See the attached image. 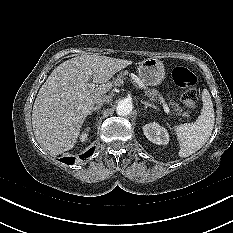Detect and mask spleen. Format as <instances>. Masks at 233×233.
<instances>
[{
    "instance_id": "1",
    "label": "spleen",
    "mask_w": 233,
    "mask_h": 233,
    "mask_svg": "<svg viewBox=\"0 0 233 233\" xmlns=\"http://www.w3.org/2000/svg\"><path fill=\"white\" fill-rule=\"evenodd\" d=\"M202 109L194 123L174 126L179 141L181 158L188 157L202 148L211 136L215 115L211 96L207 89L202 92Z\"/></svg>"
}]
</instances>
